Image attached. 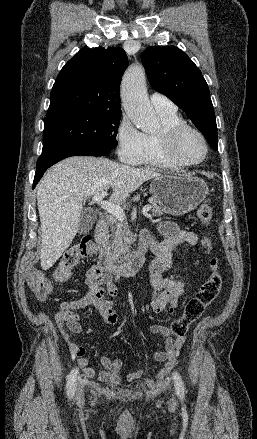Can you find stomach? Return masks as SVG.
Instances as JSON below:
<instances>
[{
  "mask_svg": "<svg viewBox=\"0 0 257 439\" xmlns=\"http://www.w3.org/2000/svg\"><path fill=\"white\" fill-rule=\"evenodd\" d=\"M206 182L196 176L162 175L150 184V192L172 215H184L194 210L207 196Z\"/></svg>",
  "mask_w": 257,
  "mask_h": 439,
  "instance_id": "stomach-1",
  "label": "stomach"
}]
</instances>
